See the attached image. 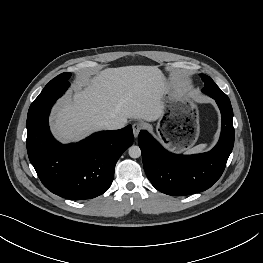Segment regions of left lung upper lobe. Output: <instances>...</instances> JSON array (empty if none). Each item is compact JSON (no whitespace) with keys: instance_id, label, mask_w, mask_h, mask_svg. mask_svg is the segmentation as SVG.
I'll use <instances>...</instances> for the list:
<instances>
[{"instance_id":"left-lung-upper-lobe-1","label":"left lung upper lobe","mask_w":263,"mask_h":263,"mask_svg":"<svg viewBox=\"0 0 263 263\" xmlns=\"http://www.w3.org/2000/svg\"><path fill=\"white\" fill-rule=\"evenodd\" d=\"M202 80L205 82V87L202 89L207 95L216 94L222 99L227 98V95L223 93L220 88L214 83V81L207 75L200 74Z\"/></svg>"}]
</instances>
